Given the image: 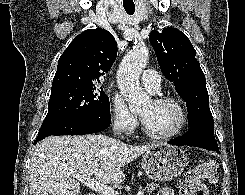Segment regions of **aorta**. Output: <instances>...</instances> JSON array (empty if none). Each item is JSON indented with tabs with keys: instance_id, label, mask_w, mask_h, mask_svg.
<instances>
[{
	"instance_id": "obj_1",
	"label": "aorta",
	"mask_w": 245,
	"mask_h": 195,
	"mask_svg": "<svg viewBox=\"0 0 245 195\" xmlns=\"http://www.w3.org/2000/svg\"><path fill=\"white\" fill-rule=\"evenodd\" d=\"M148 49L140 44L123 58L118 72L117 83L131 111H139L150 102L149 95L140 87L139 77L147 65Z\"/></svg>"
}]
</instances>
